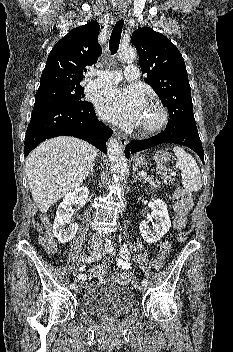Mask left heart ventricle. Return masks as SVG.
Wrapping results in <instances>:
<instances>
[{
    "mask_svg": "<svg viewBox=\"0 0 233 352\" xmlns=\"http://www.w3.org/2000/svg\"><path fill=\"white\" fill-rule=\"evenodd\" d=\"M157 117V113L153 107L146 104L140 118V124H149L153 122Z\"/></svg>",
    "mask_w": 233,
    "mask_h": 352,
    "instance_id": "obj_1",
    "label": "left heart ventricle"
}]
</instances>
